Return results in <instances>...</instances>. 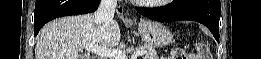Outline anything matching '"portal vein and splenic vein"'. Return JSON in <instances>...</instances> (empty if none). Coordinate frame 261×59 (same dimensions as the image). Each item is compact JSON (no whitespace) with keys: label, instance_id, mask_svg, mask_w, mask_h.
Here are the masks:
<instances>
[{"label":"portal vein and splenic vein","instance_id":"portal-vein-and-splenic-vein-1","mask_svg":"<svg viewBox=\"0 0 261 59\" xmlns=\"http://www.w3.org/2000/svg\"><path fill=\"white\" fill-rule=\"evenodd\" d=\"M85 50L110 59H127L126 54L121 50L101 47L95 44L87 45L85 47ZM145 53H146L145 51H137L132 55L131 59H137V56H142Z\"/></svg>","mask_w":261,"mask_h":59}]
</instances>
